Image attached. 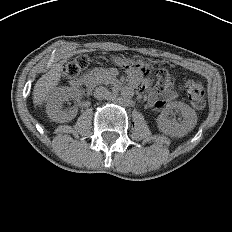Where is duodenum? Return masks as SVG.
<instances>
[{"instance_id":"1","label":"duodenum","mask_w":232,"mask_h":232,"mask_svg":"<svg viewBox=\"0 0 232 232\" xmlns=\"http://www.w3.org/2000/svg\"><path fill=\"white\" fill-rule=\"evenodd\" d=\"M73 86L80 91H89L91 88V81L88 77L81 78L73 83Z\"/></svg>"}]
</instances>
